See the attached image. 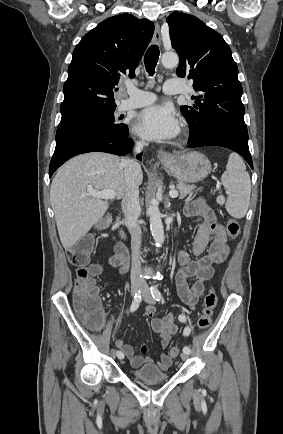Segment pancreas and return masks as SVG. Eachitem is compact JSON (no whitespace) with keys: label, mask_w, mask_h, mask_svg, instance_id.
<instances>
[{"label":"pancreas","mask_w":283,"mask_h":434,"mask_svg":"<svg viewBox=\"0 0 283 434\" xmlns=\"http://www.w3.org/2000/svg\"><path fill=\"white\" fill-rule=\"evenodd\" d=\"M176 186L179 191L181 199L185 198L187 195L193 194V192L196 189L195 185H189L184 182H178Z\"/></svg>","instance_id":"obj_1"}]
</instances>
